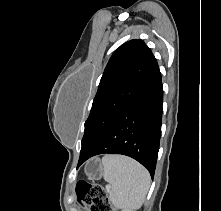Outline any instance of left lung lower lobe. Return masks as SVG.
Wrapping results in <instances>:
<instances>
[{"mask_svg":"<svg viewBox=\"0 0 221 211\" xmlns=\"http://www.w3.org/2000/svg\"><path fill=\"white\" fill-rule=\"evenodd\" d=\"M163 88L156 63L137 95L124 107L104 135L78 161L92 156L123 154L144 165L154 177L162 124Z\"/></svg>","mask_w":221,"mask_h":211,"instance_id":"left-lung-lower-lobe-1","label":"left lung lower lobe"}]
</instances>
